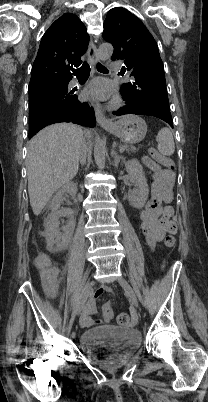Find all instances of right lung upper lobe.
<instances>
[{"instance_id": "cb5924a9", "label": "right lung upper lobe", "mask_w": 208, "mask_h": 402, "mask_svg": "<svg viewBox=\"0 0 208 402\" xmlns=\"http://www.w3.org/2000/svg\"><path fill=\"white\" fill-rule=\"evenodd\" d=\"M89 35L82 21L72 13L57 19L43 35L33 63L29 90L44 81L69 80L70 68L78 67L86 52Z\"/></svg>"}]
</instances>
